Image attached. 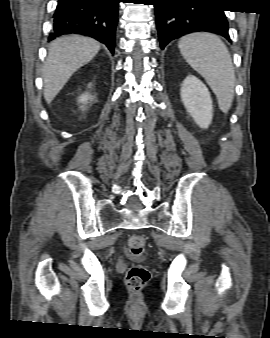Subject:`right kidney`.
Returning a JSON list of instances; mask_svg holds the SVG:
<instances>
[{"mask_svg":"<svg viewBox=\"0 0 270 338\" xmlns=\"http://www.w3.org/2000/svg\"><path fill=\"white\" fill-rule=\"evenodd\" d=\"M90 99H92V97L90 95L84 94V95L79 97L78 102L82 103V104H86L88 102V100H90Z\"/></svg>","mask_w":270,"mask_h":338,"instance_id":"ca27d5eb","label":"right kidney"}]
</instances>
